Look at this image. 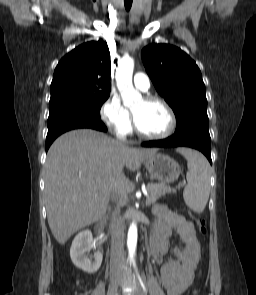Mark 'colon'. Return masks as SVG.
<instances>
[{
  "label": "colon",
  "instance_id": "colon-1",
  "mask_svg": "<svg viewBox=\"0 0 256 295\" xmlns=\"http://www.w3.org/2000/svg\"><path fill=\"white\" fill-rule=\"evenodd\" d=\"M195 221H196V223L198 225L199 233L201 235H205V233H206L205 221L203 219H200V218L195 219Z\"/></svg>",
  "mask_w": 256,
  "mask_h": 295
}]
</instances>
